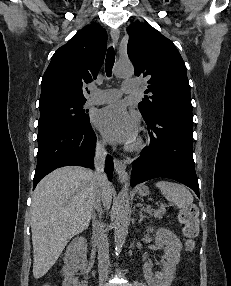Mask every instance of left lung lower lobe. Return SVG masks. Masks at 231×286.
<instances>
[{
  "instance_id": "0a47b994",
  "label": "left lung lower lobe",
  "mask_w": 231,
  "mask_h": 286,
  "mask_svg": "<svg viewBox=\"0 0 231 286\" xmlns=\"http://www.w3.org/2000/svg\"><path fill=\"white\" fill-rule=\"evenodd\" d=\"M150 144L132 164L131 186L156 177L174 179L199 197L192 153V111L158 107L148 119Z\"/></svg>"
}]
</instances>
